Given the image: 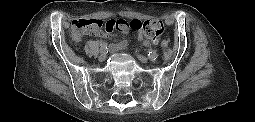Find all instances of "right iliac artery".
I'll list each match as a JSON object with an SVG mask.
<instances>
[{"label":"right iliac artery","instance_id":"82829eb1","mask_svg":"<svg viewBox=\"0 0 255 122\" xmlns=\"http://www.w3.org/2000/svg\"><path fill=\"white\" fill-rule=\"evenodd\" d=\"M107 49H108V47H107V44L106 43H101V50H103V51H107Z\"/></svg>","mask_w":255,"mask_h":122}]
</instances>
